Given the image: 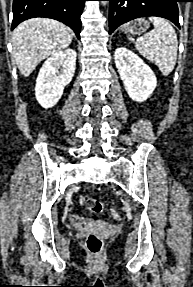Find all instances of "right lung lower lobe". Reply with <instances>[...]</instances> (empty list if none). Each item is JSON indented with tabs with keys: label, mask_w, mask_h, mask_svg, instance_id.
I'll return each mask as SVG.
<instances>
[{
	"label": "right lung lower lobe",
	"mask_w": 193,
	"mask_h": 287,
	"mask_svg": "<svg viewBox=\"0 0 193 287\" xmlns=\"http://www.w3.org/2000/svg\"><path fill=\"white\" fill-rule=\"evenodd\" d=\"M86 0H13L11 30L24 20L35 17L52 18L68 25L80 38L81 20Z\"/></svg>",
	"instance_id": "right-lung-lower-lobe-1"
}]
</instances>
